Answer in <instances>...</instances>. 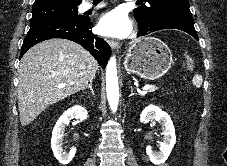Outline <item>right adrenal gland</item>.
I'll return each instance as SVG.
<instances>
[{
	"label": "right adrenal gland",
	"mask_w": 227,
	"mask_h": 166,
	"mask_svg": "<svg viewBox=\"0 0 227 166\" xmlns=\"http://www.w3.org/2000/svg\"><path fill=\"white\" fill-rule=\"evenodd\" d=\"M92 82H93V79H91V80L89 81V84H88V86H87L86 88L90 89L92 95L94 96V91H93V88H92Z\"/></svg>",
	"instance_id": "right-adrenal-gland-1"
}]
</instances>
